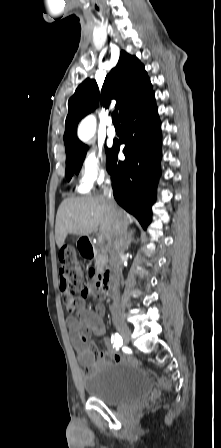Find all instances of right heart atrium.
I'll return each instance as SVG.
<instances>
[{"instance_id":"1","label":"right heart atrium","mask_w":221,"mask_h":448,"mask_svg":"<svg viewBox=\"0 0 221 448\" xmlns=\"http://www.w3.org/2000/svg\"><path fill=\"white\" fill-rule=\"evenodd\" d=\"M109 180V171L103 153L91 150L83 158L79 189L92 190L95 186Z\"/></svg>"}]
</instances>
